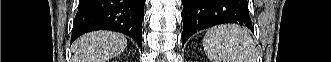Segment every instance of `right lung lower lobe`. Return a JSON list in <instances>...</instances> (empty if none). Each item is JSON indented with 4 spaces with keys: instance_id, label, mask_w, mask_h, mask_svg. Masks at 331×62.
Returning <instances> with one entry per match:
<instances>
[{
    "instance_id": "obj_1",
    "label": "right lung lower lobe",
    "mask_w": 331,
    "mask_h": 62,
    "mask_svg": "<svg viewBox=\"0 0 331 62\" xmlns=\"http://www.w3.org/2000/svg\"><path fill=\"white\" fill-rule=\"evenodd\" d=\"M145 0H79L71 42L80 35L111 30L133 38L141 47Z\"/></svg>"
}]
</instances>
